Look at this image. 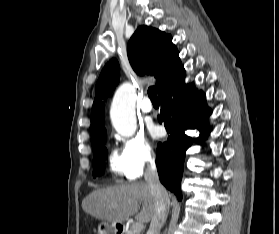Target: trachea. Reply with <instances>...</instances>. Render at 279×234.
I'll return each mask as SVG.
<instances>
[{"label": "trachea", "instance_id": "1", "mask_svg": "<svg viewBox=\"0 0 279 234\" xmlns=\"http://www.w3.org/2000/svg\"><path fill=\"white\" fill-rule=\"evenodd\" d=\"M148 96L152 102H158L157 91L154 86L148 89Z\"/></svg>", "mask_w": 279, "mask_h": 234}]
</instances>
